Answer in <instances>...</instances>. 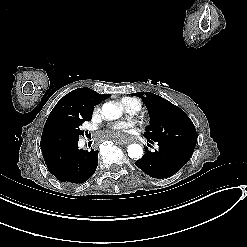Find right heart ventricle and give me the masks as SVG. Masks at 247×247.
I'll return each instance as SVG.
<instances>
[{"label":"right heart ventricle","instance_id":"obj_1","mask_svg":"<svg viewBox=\"0 0 247 247\" xmlns=\"http://www.w3.org/2000/svg\"><path fill=\"white\" fill-rule=\"evenodd\" d=\"M120 105L127 113H135L140 109L141 102L132 98L123 97L120 100Z\"/></svg>","mask_w":247,"mask_h":247}]
</instances>
